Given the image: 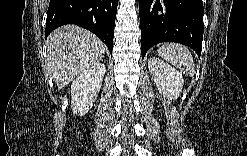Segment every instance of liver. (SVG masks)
<instances>
[{"instance_id": "1", "label": "liver", "mask_w": 247, "mask_h": 156, "mask_svg": "<svg viewBox=\"0 0 247 156\" xmlns=\"http://www.w3.org/2000/svg\"><path fill=\"white\" fill-rule=\"evenodd\" d=\"M47 65L55 81L67 86L83 70L104 57L106 47L90 31L65 25L47 38Z\"/></svg>"}]
</instances>
